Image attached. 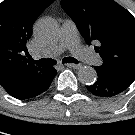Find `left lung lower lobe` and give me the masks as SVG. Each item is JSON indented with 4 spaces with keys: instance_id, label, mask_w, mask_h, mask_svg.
Segmentation results:
<instances>
[{
    "instance_id": "0a47b994",
    "label": "left lung lower lobe",
    "mask_w": 135,
    "mask_h": 135,
    "mask_svg": "<svg viewBox=\"0 0 135 135\" xmlns=\"http://www.w3.org/2000/svg\"><path fill=\"white\" fill-rule=\"evenodd\" d=\"M97 72V81L86 86L87 90L98 97H113L126 90L132 82L121 79L106 70L94 67Z\"/></svg>"
}]
</instances>
